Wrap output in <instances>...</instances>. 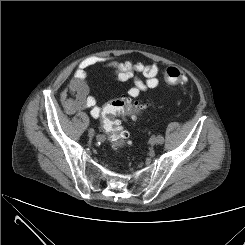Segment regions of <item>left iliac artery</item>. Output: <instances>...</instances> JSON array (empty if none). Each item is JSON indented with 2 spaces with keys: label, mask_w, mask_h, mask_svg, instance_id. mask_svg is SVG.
I'll use <instances>...</instances> for the list:
<instances>
[{
  "label": "left iliac artery",
  "mask_w": 245,
  "mask_h": 245,
  "mask_svg": "<svg viewBox=\"0 0 245 245\" xmlns=\"http://www.w3.org/2000/svg\"><path fill=\"white\" fill-rule=\"evenodd\" d=\"M158 144H163L164 138L162 136L157 137Z\"/></svg>",
  "instance_id": "left-iliac-artery-1"
}]
</instances>
